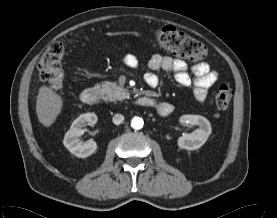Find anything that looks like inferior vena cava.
Listing matches in <instances>:
<instances>
[{"instance_id":"602c4592","label":"inferior vena cava","mask_w":277,"mask_h":218,"mask_svg":"<svg viewBox=\"0 0 277 218\" xmlns=\"http://www.w3.org/2000/svg\"><path fill=\"white\" fill-rule=\"evenodd\" d=\"M124 120V116L122 114H115L112 118V121L115 125H120Z\"/></svg>"}]
</instances>
